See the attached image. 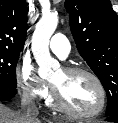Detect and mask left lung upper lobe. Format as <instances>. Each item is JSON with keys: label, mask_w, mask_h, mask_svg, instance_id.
Returning <instances> with one entry per match:
<instances>
[{"label": "left lung upper lobe", "mask_w": 118, "mask_h": 123, "mask_svg": "<svg viewBox=\"0 0 118 123\" xmlns=\"http://www.w3.org/2000/svg\"><path fill=\"white\" fill-rule=\"evenodd\" d=\"M77 49L107 93L106 115L118 114V16L109 0H65Z\"/></svg>", "instance_id": "left-lung-upper-lobe-1"}]
</instances>
